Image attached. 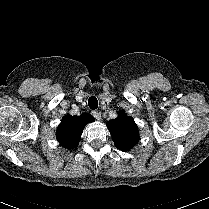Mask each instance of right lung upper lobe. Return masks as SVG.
Returning a JSON list of instances; mask_svg holds the SVG:
<instances>
[{"label": "right lung upper lobe", "instance_id": "1", "mask_svg": "<svg viewBox=\"0 0 209 209\" xmlns=\"http://www.w3.org/2000/svg\"><path fill=\"white\" fill-rule=\"evenodd\" d=\"M93 121L94 118L88 113H83L80 116L66 115L58 126L57 140L65 148L77 147L83 128L87 123Z\"/></svg>", "mask_w": 209, "mask_h": 209}]
</instances>
